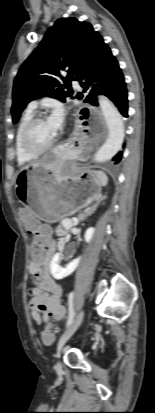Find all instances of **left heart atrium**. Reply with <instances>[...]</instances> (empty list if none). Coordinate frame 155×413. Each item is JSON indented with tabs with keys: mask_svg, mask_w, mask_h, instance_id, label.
I'll return each instance as SVG.
<instances>
[{
	"mask_svg": "<svg viewBox=\"0 0 155 413\" xmlns=\"http://www.w3.org/2000/svg\"><path fill=\"white\" fill-rule=\"evenodd\" d=\"M47 123L55 134L62 128L64 123V111L60 105H55L53 107L52 112L47 119Z\"/></svg>",
	"mask_w": 155,
	"mask_h": 413,
	"instance_id": "39dd6f15",
	"label": "left heart atrium"
}]
</instances>
